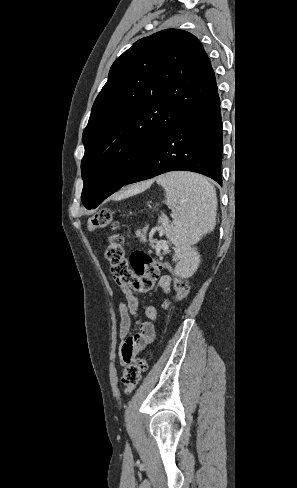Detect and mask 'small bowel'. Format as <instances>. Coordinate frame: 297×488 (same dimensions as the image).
<instances>
[{"mask_svg":"<svg viewBox=\"0 0 297 488\" xmlns=\"http://www.w3.org/2000/svg\"><path fill=\"white\" fill-rule=\"evenodd\" d=\"M116 282L124 296V300L118 303V332L121 340L120 361L126 365L134 361L140 351L155 340L157 310L152 305L146 306L144 308L146 319L142 320L140 318L141 301L139 296L141 292L123 282L118 280ZM158 288L168 297L172 291L171 276L162 275L158 281ZM132 327L134 328L133 332H131Z\"/></svg>","mask_w":297,"mask_h":488,"instance_id":"1","label":"small bowel"}]
</instances>
